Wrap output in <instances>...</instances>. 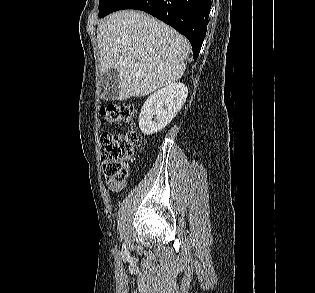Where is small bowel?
I'll use <instances>...</instances> for the list:
<instances>
[{"instance_id": "obj_1", "label": "small bowel", "mask_w": 315, "mask_h": 293, "mask_svg": "<svg viewBox=\"0 0 315 293\" xmlns=\"http://www.w3.org/2000/svg\"><path fill=\"white\" fill-rule=\"evenodd\" d=\"M123 187V183H108V189L111 192H119Z\"/></svg>"}]
</instances>
